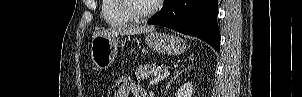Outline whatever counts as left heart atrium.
I'll use <instances>...</instances> for the list:
<instances>
[{"instance_id":"39dd6f15","label":"left heart atrium","mask_w":302,"mask_h":97,"mask_svg":"<svg viewBox=\"0 0 302 97\" xmlns=\"http://www.w3.org/2000/svg\"><path fill=\"white\" fill-rule=\"evenodd\" d=\"M154 3H160L162 0H152Z\"/></svg>"}]
</instances>
